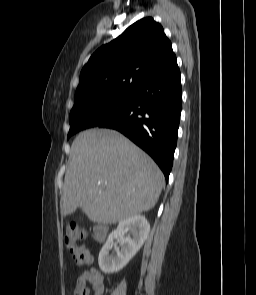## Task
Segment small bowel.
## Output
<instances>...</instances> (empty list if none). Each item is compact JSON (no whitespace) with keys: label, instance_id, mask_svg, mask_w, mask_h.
<instances>
[{"label":"small bowel","instance_id":"small-bowel-1","mask_svg":"<svg viewBox=\"0 0 256 295\" xmlns=\"http://www.w3.org/2000/svg\"><path fill=\"white\" fill-rule=\"evenodd\" d=\"M103 281L102 274L96 268L85 270L76 281L74 293L89 295L92 290L94 295H103L105 290ZM87 282L90 283L91 288L87 287Z\"/></svg>","mask_w":256,"mask_h":295}]
</instances>
